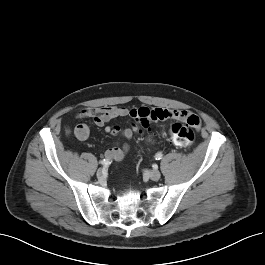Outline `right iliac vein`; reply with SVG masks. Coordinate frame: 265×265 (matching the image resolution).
Here are the masks:
<instances>
[{"instance_id":"obj_1","label":"right iliac vein","mask_w":265,"mask_h":265,"mask_svg":"<svg viewBox=\"0 0 265 265\" xmlns=\"http://www.w3.org/2000/svg\"><path fill=\"white\" fill-rule=\"evenodd\" d=\"M97 177L99 179H103L104 178V172H103V170L98 169V171H97Z\"/></svg>"}]
</instances>
